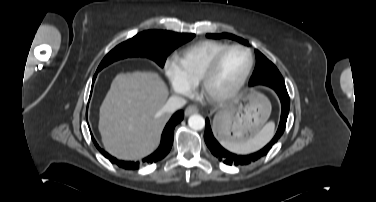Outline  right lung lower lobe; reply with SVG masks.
I'll list each match as a JSON object with an SVG mask.
<instances>
[{
	"instance_id": "98d812e1",
	"label": "right lung lower lobe",
	"mask_w": 376,
	"mask_h": 202,
	"mask_svg": "<svg viewBox=\"0 0 376 202\" xmlns=\"http://www.w3.org/2000/svg\"><path fill=\"white\" fill-rule=\"evenodd\" d=\"M96 77V76H95ZM184 117L183 111L179 110L177 111L169 120L167 125L164 128V131L162 133L161 138V144L159 148L152 153L150 156L143 159V162L146 163H153L157 162L158 160L163 159L170 151L173 143V136H174V128L175 126L181 122V120ZM93 142L97 149L104 155L106 158H108L112 163L118 165L119 167H122L124 169H138L139 165L138 162H131V161H123V160H117L115 157L109 155L106 151L101 149L99 145L96 143L95 139L93 138Z\"/></svg>"
}]
</instances>
